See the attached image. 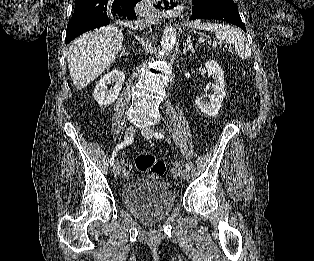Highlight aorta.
<instances>
[{"mask_svg": "<svg viewBox=\"0 0 314 261\" xmlns=\"http://www.w3.org/2000/svg\"><path fill=\"white\" fill-rule=\"evenodd\" d=\"M177 38L176 29L172 26L167 27L161 38V47L164 52H171L175 46Z\"/></svg>", "mask_w": 314, "mask_h": 261, "instance_id": "762f6f07", "label": "aorta"}]
</instances>
